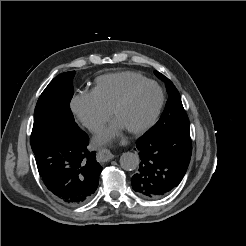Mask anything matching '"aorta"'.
<instances>
[{
  "label": "aorta",
  "instance_id": "aorta-1",
  "mask_svg": "<svg viewBox=\"0 0 246 246\" xmlns=\"http://www.w3.org/2000/svg\"><path fill=\"white\" fill-rule=\"evenodd\" d=\"M140 163L139 156L132 152H125L120 157V166L126 171L135 170Z\"/></svg>",
  "mask_w": 246,
  "mask_h": 246
}]
</instances>
